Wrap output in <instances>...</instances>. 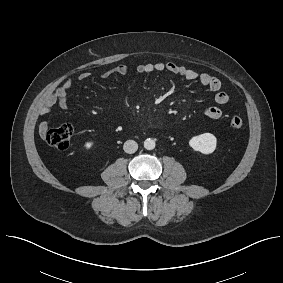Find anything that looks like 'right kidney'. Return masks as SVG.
<instances>
[{"label":"right kidney","instance_id":"1","mask_svg":"<svg viewBox=\"0 0 283 283\" xmlns=\"http://www.w3.org/2000/svg\"><path fill=\"white\" fill-rule=\"evenodd\" d=\"M93 145H94L93 141H88L84 144V147L88 150V149L92 148Z\"/></svg>","mask_w":283,"mask_h":283}]
</instances>
